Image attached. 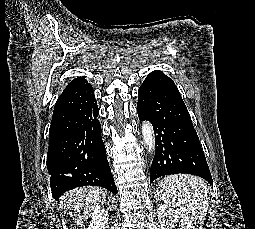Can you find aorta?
<instances>
[{"mask_svg": "<svg viewBox=\"0 0 255 229\" xmlns=\"http://www.w3.org/2000/svg\"><path fill=\"white\" fill-rule=\"evenodd\" d=\"M142 136L144 144L146 145L147 151L149 153H154L155 151V136L152 124L149 121H144L142 123Z\"/></svg>", "mask_w": 255, "mask_h": 229, "instance_id": "obj_1", "label": "aorta"}]
</instances>
